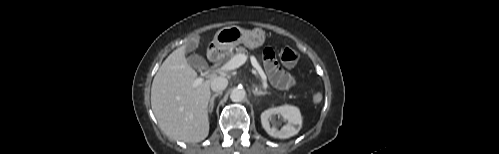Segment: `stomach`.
<instances>
[{
	"label": "stomach",
	"mask_w": 499,
	"mask_h": 154,
	"mask_svg": "<svg viewBox=\"0 0 499 154\" xmlns=\"http://www.w3.org/2000/svg\"><path fill=\"white\" fill-rule=\"evenodd\" d=\"M265 42V32L260 28L245 30L238 26L220 29L214 36L213 45L218 50H228L243 43L250 49H256Z\"/></svg>",
	"instance_id": "0dacf381"
}]
</instances>
